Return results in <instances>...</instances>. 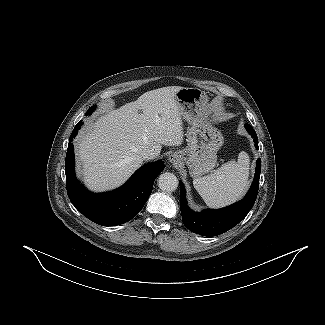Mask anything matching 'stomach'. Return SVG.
Wrapping results in <instances>:
<instances>
[{"label":"stomach","mask_w":325,"mask_h":325,"mask_svg":"<svg viewBox=\"0 0 325 325\" xmlns=\"http://www.w3.org/2000/svg\"><path fill=\"white\" fill-rule=\"evenodd\" d=\"M181 116L190 125L187 146L178 151L193 178L210 172L216 165L217 152L224 138L210 119L208 96L198 88H182L176 93Z\"/></svg>","instance_id":"stomach-1"}]
</instances>
